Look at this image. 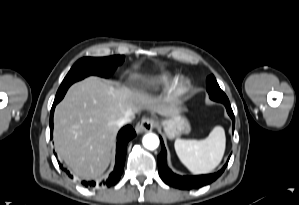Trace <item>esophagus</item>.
<instances>
[{
    "instance_id": "esophagus-1",
    "label": "esophagus",
    "mask_w": 299,
    "mask_h": 205,
    "mask_svg": "<svg viewBox=\"0 0 299 205\" xmlns=\"http://www.w3.org/2000/svg\"><path fill=\"white\" fill-rule=\"evenodd\" d=\"M154 126V120L150 118H143L137 123L135 130L137 133L150 132L154 128Z\"/></svg>"
}]
</instances>
